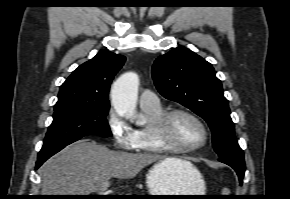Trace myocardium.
<instances>
[{"mask_svg": "<svg viewBox=\"0 0 290 199\" xmlns=\"http://www.w3.org/2000/svg\"><path fill=\"white\" fill-rule=\"evenodd\" d=\"M177 115L188 116L193 120H195L200 125L203 131V140L200 144L193 147H182L172 142L168 138L169 124L172 118ZM153 136L156 143L160 145L163 149H165L167 152L177 154H189L197 150H200L207 144L209 139V131L204 121L196 113L188 109L176 108L164 112V114L153 123Z\"/></svg>", "mask_w": 290, "mask_h": 199, "instance_id": "myocardium-1", "label": "myocardium"}]
</instances>
